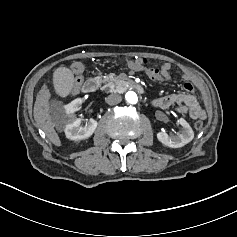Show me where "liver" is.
Instances as JSON below:
<instances>
[{"instance_id": "6515ba94", "label": "liver", "mask_w": 237, "mask_h": 237, "mask_svg": "<svg viewBox=\"0 0 237 237\" xmlns=\"http://www.w3.org/2000/svg\"><path fill=\"white\" fill-rule=\"evenodd\" d=\"M40 98L37 99L35 104V110H34V117L36 119V124L39 128H41L45 136L49 139L51 143H53L56 147H61V140L58 136V133L56 132L55 128L52 125H49L46 121V113L41 109L43 107V103L41 105H38ZM40 107V110L37 111V108Z\"/></svg>"}]
</instances>
